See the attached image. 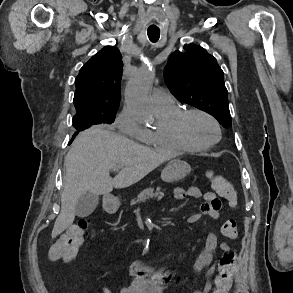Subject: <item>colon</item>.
Listing matches in <instances>:
<instances>
[{"instance_id": "colon-1", "label": "colon", "mask_w": 293, "mask_h": 293, "mask_svg": "<svg viewBox=\"0 0 293 293\" xmlns=\"http://www.w3.org/2000/svg\"><path fill=\"white\" fill-rule=\"evenodd\" d=\"M211 187L224 197L231 207L238 204V193L234 185L224 176L212 171L207 172ZM92 233L91 221L81 218L65 231L52 245L49 257L52 260L70 262L76 255L78 247ZM222 234L227 238H236L237 224L234 220L226 221L222 226ZM236 271V253L230 249L225 251L218 262V272L212 293H228Z\"/></svg>"}]
</instances>
